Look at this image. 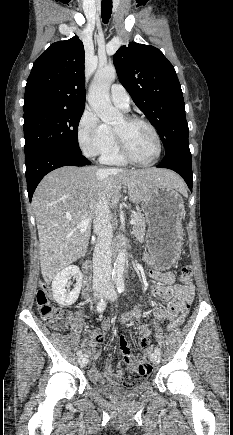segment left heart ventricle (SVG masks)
<instances>
[{
	"label": "left heart ventricle",
	"instance_id": "1",
	"mask_svg": "<svg viewBox=\"0 0 233 435\" xmlns=\"http://www.w3.org/2000/svg\"><path fill=\"white\" fill-rule=\"evenodd\" d=\"M113 127L121 133L128 150L137 160L149 162L155 158V139L146 125L139 122L128 124L122 118Z\"/></svg>",
	"mask_w": 233,
	"mask_h": 435
}]
</instances>
